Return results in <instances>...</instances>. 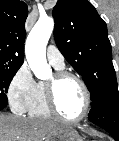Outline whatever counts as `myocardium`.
Masks as SVG:
<instances>
[{"instance_id":"1","label":"myocardium","mask_w":119,"mask_h":141,"mask_svg":"<svg viewBox=\"0 0 119 141\" xmlns=\"http://www.w3.org/2000/svg\"><path fill=\"white\" fill-rule=\"evenodd\" d=\"M67 78H72L79 83L85 98V104H84V109L82 113L79 116L74 118H69L64 116L59 110L57 102H56V86L61 81ZM44 89H45V99H46L47 107L49 111L51 112V114L54 115L55 117L67 122H80L88 115L91 108L90 92L84 80L77 74L72 73L70 71H66V70H57L53 74L52 79L45 83Z\"/></svg>"}]
</instances>
